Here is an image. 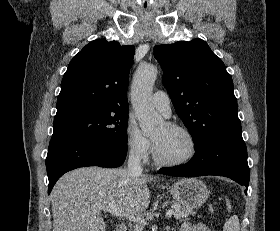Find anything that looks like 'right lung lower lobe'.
Returning <instances> with one entry per match:
<instances>
[{
  "label": "right lung lower lobe",
  "instance_id": "98d812e1",
  "mask_svg": "<svg viewBox=\"0 0 280 231\" xmlns=\"http://www.w3.org/2000/svg\"><path fill=\"white\" fill-rule=\"evenodd\" d=\"M126 154L121 146L105 145L71 135L52 136L46 158L48 194L64 173L86 166L119 167L124 163Z\"/></svg>",
  "mask_w": 280,
  "mask_h": 231
}]
</instances>
